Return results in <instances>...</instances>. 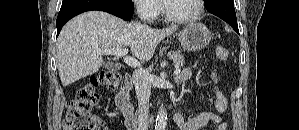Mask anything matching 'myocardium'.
<instances>
[{
  "mask_svg": "<svg viewBox=\"0 0 299 130\" xmlns=\"http://www.w3.org/2000/svg\"><path fill=\"white\" fill-rule=\"evenodd\" d=\"M169 1L170 0H164L162 2L163 15L166 20H168L170 22L178 23V24H186V23L196 21L201 16L203 9H204V1L196 0L197 6H196V10L194 13L187 15V16H180V17L173 16L170 14V12L168 10V2Z\"/></svg>",
  "mask_w": 299,
  "mask_h": 130,
  "instance_id": "1",
  "label": "myocardium"
}]
</instances>
